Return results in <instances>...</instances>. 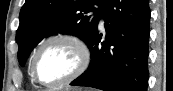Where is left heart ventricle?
Segmentation results:
<instances>
[{"label": "left heart ventricle", "mask_w": 173, "mask_h": 91, "mask_svg": "<svg viewBox=\"0 0 173 91\" xmlns=\"http://www.w3.org/2000/svg\"><path fill=\"white\" fill-rule=\"evenodd\" d=\"M78 64L76 50L65 42L46 46L37 62V74L43 82H56L69 75Z\"/></svg>", "instance_id": "1"}]
</instances>
